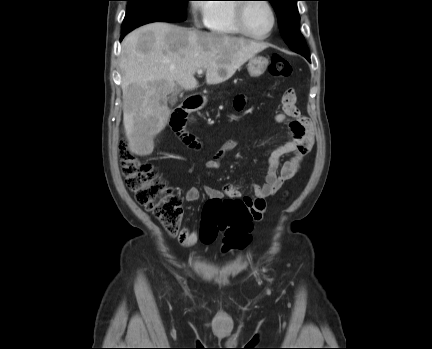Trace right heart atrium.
<instances>
[{
    "label": "right heart atrium",
    "instance_id": "d8ad5b80",
    "mask_svg": "<svg viewBox=\"0 0 432 349\" xmlns=\"http://www.w3.org/2000/svg\"><path fill=\"white\" fill-rule=\"evenodd\" d=\"M208 10V3L206 0H193L190 1V11L193 22L199 24L205 19Z\"/></svg>",
    "mask_w": 432,
    "mask_h": 349
}]
</instances>
